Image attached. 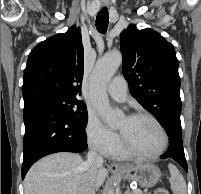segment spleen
<instances>
[{"mask_svg":"<svg viewBox=\"0 0 201 194\" xmlns=\"http://www.w3.org/2000/svg\"><path fill=\"white\" fill-rule=\"evenodd\" d=\"M170 172V184L174 194H187V186L184 177L180 174L177 167L173 164L168 165Z\"/></svg>","mask_w":201,"mask_h":194,"instance_id":"1","label":"spleen"}]
</instances>
